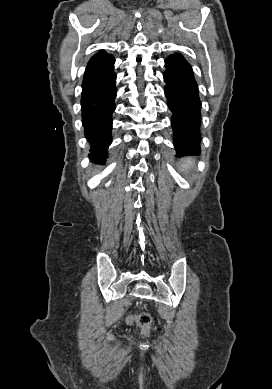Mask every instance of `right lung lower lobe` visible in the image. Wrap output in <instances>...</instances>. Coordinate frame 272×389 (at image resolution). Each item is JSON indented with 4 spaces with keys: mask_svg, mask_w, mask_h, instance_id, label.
<instances>
[{
    "mask_svg": "<svg viewBox=\"0 0 272 389\" xmlns=\"http://www.w3.org/2000/svg\"><path fill=\"white\" fill-rule=\"evenodd\" d=\"M112 55L88 64L82 82V123L91 143L92 161L104 162L111 144L112 113L116 97Z\"/></svg>",
    "mask_w": 272,
    "mask_h": 389,
    "instance_id": "1",
    "label": "right lung lower lobe"
}]
</instances>
